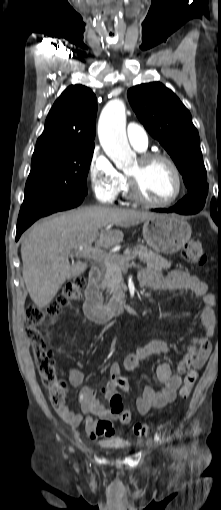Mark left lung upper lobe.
Segmentation results:
<instances>
[{
	"label": "left lung upper lobe",
	"mask_w": 221,
	"mask_h": 510,
	"mask_svg": "<svg viewBox=\"0 0 221 510\" xmlns=\"http://www.w3.org/2000/svg\"><path fill=\"white\" fill-rule=\"evenodd\" d=\"M127 94L140 122L170 154L183 176L189 193L178 203L191 202L202 209L208 195L207 173L190 112L159 82L138 85ZM211 209L216 210L214 199Z\"/></svg>",
	"instance_id": "1"
}]
</instances>
